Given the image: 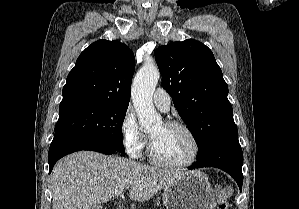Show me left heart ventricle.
Masks as SVG:
<instances>
[{
	"mask_svg": "<svg viewBox=\"0 0 299 209\" xmlns=\"http://www.w3.org/2000/svg\"><path fill=\"white\" fill-rule=\"evenodd\" d=\"M149 135L157 155L167 162L182 163L193 154V142L181 129L169 128L161 123L153 128Z\"/></svg>",
	"mask_w": 299,
	"mask_h": 209,
	"instance_id": "1",
	"label": "left heart ventricle"
}]
</instances>
